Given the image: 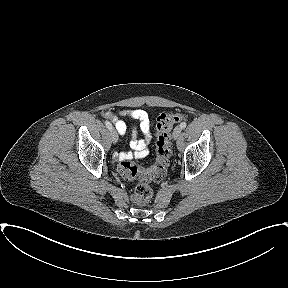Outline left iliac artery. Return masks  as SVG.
<instances>
[{"mask_svg": "<svg viewBox=\"0 0 288 288\" xmlns=\"http://www.w3.org/2000/svg\"><path fill=\"white\" fill-rule=\"evenodd\" d=\"M180 127H181L182 129H184V128L186 127V123H185V122H182V123L180 124Z\"/></svg>", "mask_w": 288, "mask_h": 288, "instance_id": "44dca946", "label": "left iliac artery"}]
</instances>
